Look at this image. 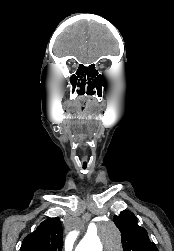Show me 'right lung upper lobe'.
Instances as JSON below:
<instances>
[{"instance_id":"right-lung-upper-lobe-1","label":"right lung upper lobe","mask_w":174,"mask_h":251,"mask_svg":"<svg viewBox=\"0 0 174 251\" xmlns=\"http://www.w3.org/2000/svg\"><path fill=\"white\" fill-rule=\"evenodd\" d=\"M62 227L59 218H47L27 235L20 251H62Z\"/></svg>"}]
</instances>
